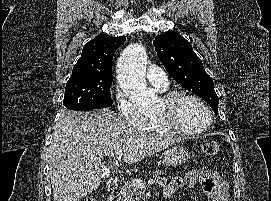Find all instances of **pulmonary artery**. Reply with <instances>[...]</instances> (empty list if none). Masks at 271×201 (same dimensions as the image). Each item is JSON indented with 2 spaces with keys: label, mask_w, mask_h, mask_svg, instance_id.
Wrapping results in <instances>:
<instances>
[{
  "label": "pulmonary artery",
  "mask_w": 271,
  "mask_h": 201,
  "mask_svg": "<svg viewBox=\"0 0 271 201\" xmlns=\"http://www.w3.org/2000/svg\"><path fill=\"white\" fill-rule=\"evenodd\" d=\"M148 81L160 90L168 87V78L163 69L157 65H149L147 69Z\"/></svg>",
  "instance_id": "obj_1"
}]
</instances>
